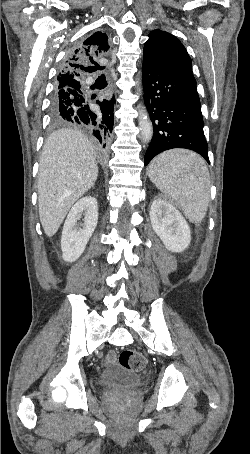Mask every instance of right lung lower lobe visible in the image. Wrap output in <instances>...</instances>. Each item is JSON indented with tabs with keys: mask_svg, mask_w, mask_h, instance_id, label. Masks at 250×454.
Returning a JSON list of instances; mask_svg holds the SVG:
<instances>
[{
	"mask_svg": "<svg viewBox=\"0 0 250 454\" xmlns=\"http://www.w3.org/2000/svg\"><path fill=\"white\" fill-rule=\"evenodd\" d=\"M71 92L72 94L68 91H59L56 99H52L51 116L59 118L64 124L80 125L105 147L114 124V100H97L100 110H94L90 103L95 96L90 98L83 95L81 90Z\"/></svg>",
	"mask_w": 250,
	"mask_h": 454,
	"instance_id": "1",
	"label": "right lung lower lobe"
}]
</instances>
